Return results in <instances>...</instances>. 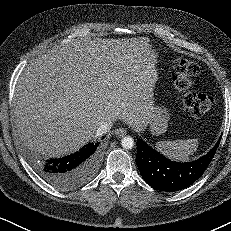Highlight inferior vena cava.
<instances>
[{
	"instance_id": "602c4592",
	"label": "inferior vena cava",
	"mask_w": 231,
	"mask_h": 231,
	"mask_svg": "<svg viewBox=\"0 0 231 231\" xmlns=\"http://www.w3.org/2000/svg\"><path fill=\"white\" fill-rule=\"evenodd\" d=\"M112 126H113L112 122H104V123H102L97 129L96 135L97 136H102V135L106 134L111 129Z\"/></svg>"
}]
</instances>
